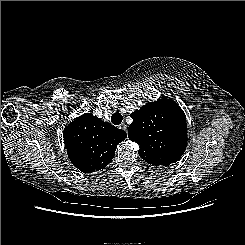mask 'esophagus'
Here are the masks:
<instances>
[{
	"mask_svg": "<svg viewBox=\"0 0 245 245\" xmlns=\"http://www.w3.org/2000/svg\"><path fill=\"white\" fill-rule=\"evenodd\" d=\"M120 128H122L124 131H127V125L125 123H122Z\"/></svg>",
	"mask_w": 245,
	"mask_h": 245,
	"instance_id": "34e87169",
	"label": "esophagus"
}]
</instances>
